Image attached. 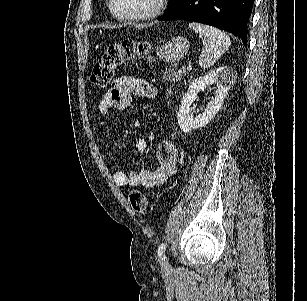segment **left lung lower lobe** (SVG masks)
<instances>
[{"instance_id":"left-lung-lower-lobe-1","label":"left lung lower lobe","mask_w":307,"mask_h":301,"mask_svg":"<svg viewBox=\"0 0 307 301\" xmlns=\"http://www.w3.org/2000/svg\"><path fill=\"white\" fill-rule=\"evenodd\" d=\"M254 0H180L159 20H188L228 31L247 46Z\"/></svg>"}]
</instances>
